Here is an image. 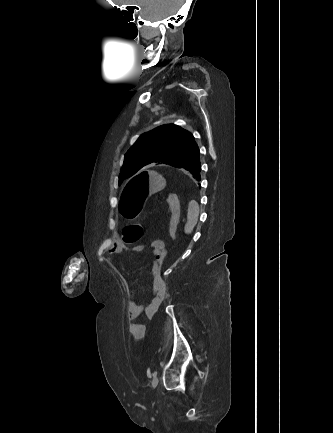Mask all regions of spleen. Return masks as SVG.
Instances as JSON below:
<instances>
[{"label": "spleen", "instance_id": "1", "mask_svg": "<svg viewBox=\"0 0 333 433\" xmlns=\"http://www.w3.org/2000/svg\"><path fill=\"white\" fill-rule=\"evenodd\" d=\"M199 218V206L196 201H192L189 208L188 220L185 224V233L191 234L195 228Z\"/></svg>", "mask_w": 333, "mask_h": 433}]
</instances>
